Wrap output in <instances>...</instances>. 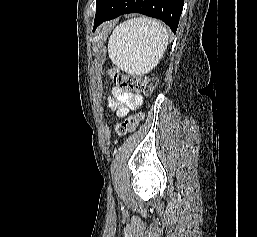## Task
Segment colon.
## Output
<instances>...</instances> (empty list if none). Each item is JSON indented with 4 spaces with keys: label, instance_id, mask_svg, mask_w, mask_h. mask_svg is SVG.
Listing matches in <instances>:
<instances>
[{
    "label": "colon",
    "instance_id": "5ec220e1",
    "mask_svg": "<svg viewBox=\"0 0 257 237\" xmlns=\"http://www.w3.org/2000/svg\"><path fill=\"white\" fill-rule=\"evenodd\" d=\"M110 76L117 88L127 93L137 92L150 94L155 90L158 84L156 77L149 75L124 74L117 69H112L110 71ZM141 119V114L128 117L125 121L116 125V132L120 136L126 135L138 125Z\"/></svg>",
    "mask_w": 257,
    "mask_h": 237
}]
</instances>
